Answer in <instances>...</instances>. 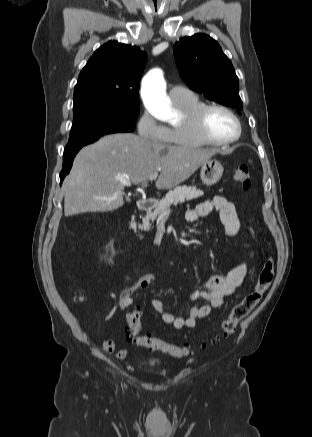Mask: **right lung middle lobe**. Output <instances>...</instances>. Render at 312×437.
Instances as JSON below:
<instances>
[{
  "instance_id": "right-lung-middle-lobe-1",
  "label": "right lung middle lobe",
  "mask_w": 312,
  "mask_h": 437,
  "mask_svg": "<svg viewBox=\"0 0 312 437\" xmlns=\"http://www.w3.org/2000/svg\"><path fill=\"white\" fill-rule=\"evenodd\" d=\"M139 114V103L118 105L85 104L73 108V125L64 154L80 150L105 134L132 132Z\"/></svg>"
}]
</instances>
